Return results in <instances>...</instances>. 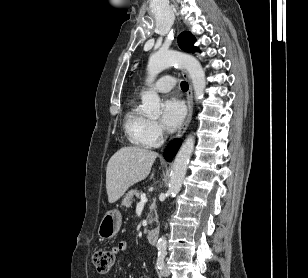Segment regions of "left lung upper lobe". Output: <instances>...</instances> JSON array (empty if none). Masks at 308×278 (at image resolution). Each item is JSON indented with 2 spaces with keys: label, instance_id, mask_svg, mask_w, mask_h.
Here are the masks:
<instances>
[{
  "label": "left lung upper lobe",
  "instance_id": "1",
  "mask_svg": "<svg viewBox=\"0 0 308 278\" xmlns=\"http://www.w3.org/2000/svg\"><path fill=\"white\" fill-rule=\"evenodd\" d=\"M195 38L193 35H191L190 32H183L178 37V43L181 49L187 51V52H196L198 49L193 45L195 43Z\"/></svg>",
  "mask_w": 308,
  "mask_h": 278
}]
</instances>
